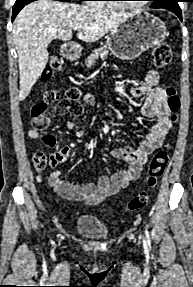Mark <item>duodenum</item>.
I'll list each match as a JSON object with an SVG mask.
<instances>
[{"label":"duodenum","mask_w":193,"mask_h":287,"mask_svg":"<svg viewBox=\"0 0 193 287\" xmlns=\"http://www.w3.org/2000/svg\"><path fill=\"white\" fill-rule=\"evenodd\" d=\"M80 54V48L78 45L73 43H67L65 44L63 48V55L66 59L74 60L76 59Z\"/></svg>","instance_id":"410a0bca"}]
</instances>
